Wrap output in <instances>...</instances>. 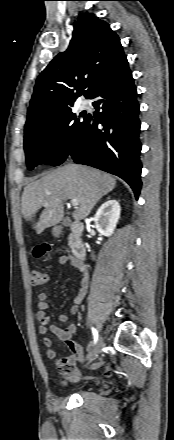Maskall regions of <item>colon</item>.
Instances as JSON below:
<instances>
[{"label": "colon", "mask_w": 174, "mask_h": 440, "mask_svg": "<svg viewBox=\"0 0 174 440\" xmlns=\"http://www.w3.org/2000/svg\"><path fill=\"white\" fill-rule=\"evenodd\" d=\"M52 252V247L49 244H42L35 248L34 255L37 258L44 257ZM47 281V275L43 270L33 269L31 271V284L34 287H40Z\"/></svg>", "instance_id": "colon-1"}]
</instances>
